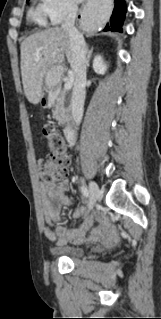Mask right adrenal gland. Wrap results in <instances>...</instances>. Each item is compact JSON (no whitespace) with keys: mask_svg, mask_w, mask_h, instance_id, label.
<instances>
[{"mask_svg":"<svg viewBox=\"0 0 161 319\" xmlns=\"http://www.w3.org/2000/svg\"><path fill=\"white\" fill-rule=\"evenodd\" d=\"M92 53H93V48L89 50L87 47V68H89Z\"/></svg>","mask_w":161,"mask_h":319,"instance_id":"right-adrenal-gland-1","label":"right adrenal gland"}]
</instances>
